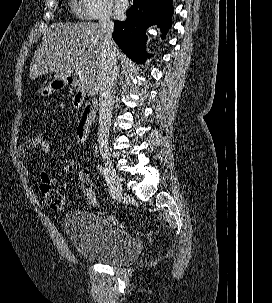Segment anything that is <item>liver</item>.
<instances>
[{
  "label": "liver",
  "instance_id": "6515ba94",
  "mask_svg": "<svg viewBox=\"0 0 272 303\" xmlns=\"http://www.w3.org/2000/svg\"><path fill=\"white\" fill-rule=\"evenodd\" d=\"M117 60H126L114 45ZM104 35L98 23H55L45 32L30 65L29 77L54 73V80L66 81L71 75L88 77L86 91L94 96L99 89Z\"/></svg>",
  "mask_w": 272,
  "mask_h": 303
}]
</instances>
